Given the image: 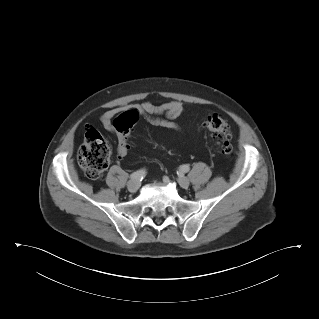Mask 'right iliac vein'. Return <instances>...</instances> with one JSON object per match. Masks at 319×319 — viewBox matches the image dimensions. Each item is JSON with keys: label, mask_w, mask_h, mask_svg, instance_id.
<instances>
[{"label": "right iliac vein", "mask_w": 319, "mask_h": 319, "mask_svg": "<svg viewBox=\"0 0 319 319\" xmlns=\"http://www.w3.org/2000/svg\"><path fill=\"white\" fill-rule=\"evenodd\" d=\"M127 188L130 192L135 193L140 188V181L130 180L127 184Z\"/></svg>", "instance_id": "1"}]
</instances>
